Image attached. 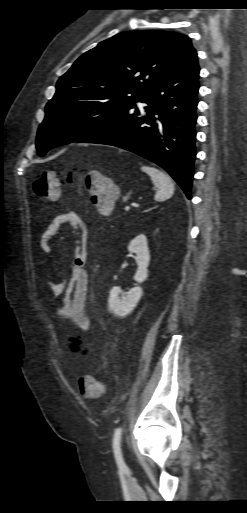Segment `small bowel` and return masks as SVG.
Wrapping results in <instances>:
<instances>
[{
    "label": "small bowel",
    "mask_w": 247,
    "mask_h": 513,
    "mask_svg": "<svg viewBox=\"0 0 247 513\" xmlns=\"http://www.w3.org/2000/svg\"><path fill=\"white\" fill-rule=\"evenodd\" d=\"M65 225L71 226L77 235L71 275L69 279L49 281L47 285L50 294L60 298V304L55 309L56 317L70 320L82 332L88 333L91 328L90 316L86 309V296L89 287V275L85 268L88 232L84 220L75 212L56 215L42 233L39 243L45 253L51 252L54 240L61 238V231ZM73 341L76 339L73 338ZM77 345L80 348H85V344L82 342H77Z\"/></svg>",
    "instance_id": "1"
}]
</instances>
